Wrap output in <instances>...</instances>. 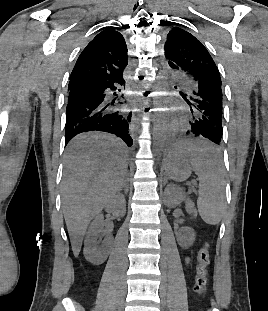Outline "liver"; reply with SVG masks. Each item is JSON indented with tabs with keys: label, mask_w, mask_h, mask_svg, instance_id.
<instances>
[{
	"label": "liver",
	"mask_w": 268,
	"mask_h": 311,
	"mask_svg": "<svg viewBox=\"0 0 268 311\" xmlns=\"http://www.w3.org/2000/svg\"><path fill=\"white\" fill-rule=\"evenodd\" d=\"M128 161L125 144L109 134H80L69 143L61 193L75 257L80 253L88 224L121 188Z\"/></svg>",
	"instance_id": "1"
}]
</instances>
